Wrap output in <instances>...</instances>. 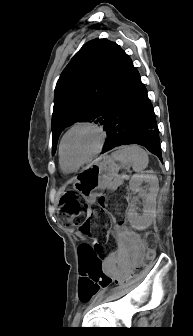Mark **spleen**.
Here are the masks:
<instances>
[{"label": "spleen", "mask_w": 193, "mask_h": 336, "mask_svg": "<svg viewBox=\"0 0 193 336\" xmlns=\"http://www.w3.org/2000/svg\"><path fill=\"white\" fill-rule=\"evenodd\" d=\"M112 158L122 165H131L133 170L141 172L149 162L148 154L140 146H122L112 153Z\"/></svg>", "instance_id": "1"}]
</instances>
